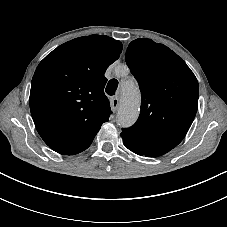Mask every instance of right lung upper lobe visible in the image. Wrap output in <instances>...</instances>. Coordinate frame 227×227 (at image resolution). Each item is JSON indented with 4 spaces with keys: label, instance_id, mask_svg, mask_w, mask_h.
Here are the masks:
<instances>
[{
    "label": "right lung upper lobe",
    "instance_id": "cb5924a9",
    "mask_svg": "<svg viewBox=\"0 0 227 227\" xmlns=\"http://www.w3.org/2000/svg\"><path fill=\"white\" fill-rule=\"evenodd\" d=\"M122 43L104 35L79 37L48 54L31 84L30 111L37 131L54 151L87 149L111 114L104 74Z\"/></svg>",
    "mask_w": 227,
    "mask_h": 227
}]
</instances>
